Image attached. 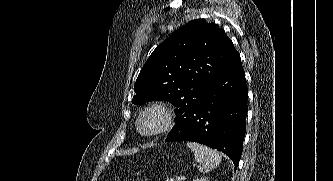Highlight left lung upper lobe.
Returning a JSON list of instances; mask_svg holds the SVG:
<instances>
[{"mask_svg": "<svg viewBox=\"0 0 333 181\" xmlns=\"http://www.w3.org/2000/svg\"><path fill=\"white\" fill-rule=\"evenodd\" d=\"M238 55L216 24L193 20L153 51L136 80L132 103L169 101L177 119L201 103L208 85Z\"/></svg>", "mask_w": 333, "mask_h": 181, "instance_id": "5c2ea615", "label": "left lung upper lobe"}]
</instances>
